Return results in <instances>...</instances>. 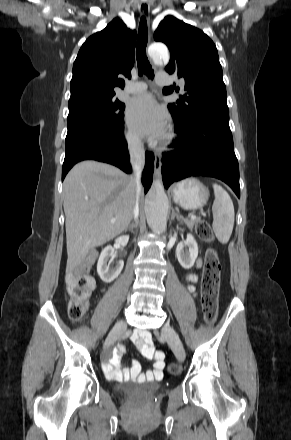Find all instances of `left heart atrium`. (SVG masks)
Instances as JSON below:
<instances>
[{"instance_id": "1", "label": "left heart atrium", "mask_w": 291, "mask_h": 440, "mask_svg": "<svg viewBox=\"0 0 291 440\" xmlns=\"http://www.w3.org/2000/svg\"><path fill=\"white\" fill-rule=\"evenodd\" d=\"M127 121L137 135L152 139L164 136L168 127V115L155 99L143 94L131 99L126 111Z\"/></svg>"}]
</instances>
